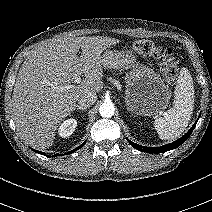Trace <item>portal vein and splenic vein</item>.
<instances>
[{"label": "portal vein and splenic vein", "instance_id": "18ae733b", "mask_svg": "<svg viewBox=\"0 0 212 212\" xmlns=\"http://www.w3.org/2000/svg\"><path fill=\"white\" fill-rule=\"evenodd\" d=\"M80 81H81V77L78 76V77L75 78V81H74V82H75V83H79ZM65 88H66V89H70V88H72V86H66Z\"/></svg>", "mask_w": 212, "mask_h": 212}]
</instances>
